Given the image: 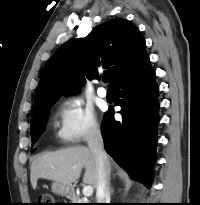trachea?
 Listing matches in <instances>:
<instances>
[{"label":"trachea","instance_id":"obj_1","mask_svg":"<svg viewBox=\"0 0 200 205\" xmlns=\"http://www.w3.org/2000/svg\"><path fill=\"white\" fill-rule=\"evenodd\" d=\"M103 82L108 83L109 82V75H104L103 76Z\"/></svg>","mask_w":200,"mask_h":205}]
</instances>
